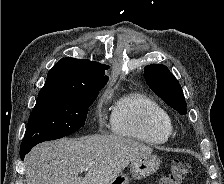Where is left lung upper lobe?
I'll return each mask as SVG.
<instances>
[{"instance_id": "1", "label": "left lung upper lobe", "mask_w": 224, "mask_h": 184, "mask_svg": "<svg viewBox=\"0 0 224 184\" xmlns=\"http://www.w3.org/2000/svg\"><path fill=\"white\" fill-rule=\"evenodd\" d=\"M144 77L151 90L181 115L187 113L182 88L165 65L153 64L144 68Z\"/></svg>"}]
</instances>
